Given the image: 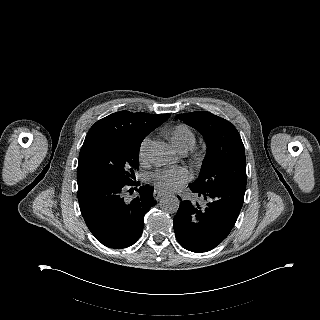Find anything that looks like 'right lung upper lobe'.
<instances>
[{
  "instance_id": "1",
  "label": "right lung upper lobe",
  "mask_w": 320,
  "mask_h": 320,
  "mask_svg": "<svg viewBox=\"0 0 320 320\" xmlns=\"http://www.w3.org/2000/svg\"><path fill=\"white\" fill-rule=\"evenodd\" d=\"M170 114H147L120 111L97 121L89 130L80 152L106 142L132 143L142 141L151 131L169 118Z\"/></svg>"
}]
</instances>
